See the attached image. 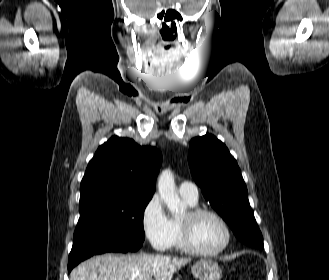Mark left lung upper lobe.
I'll list each match as a JSON object with an SVG mask.
<instances>
[{
	"mask_svg": "<svg viewBox=\"0 0 329 280\" xmlns=\"http://www.w3.org/2000/svg\"><path fill=\"white\" fill-rule=\"evenodd\" d=\"M188 161L205 199L227 221L235 236L249 246L264 248L241 171L225 144L211 134L193 138Z\"/></svg>",
	"mask_w": 329,
	"mask_h": 280,
	"instance_id": "obj_1",
	"label": "left lung upper lobe"
}]
</instances>
